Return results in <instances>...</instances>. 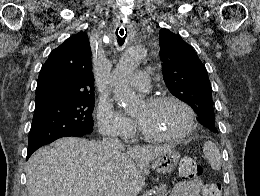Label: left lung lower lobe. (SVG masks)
<instances>
[{
	"mask_svg": "<svg viewBox=\"0 0 260 196\" xmlns=\"http://www.w3.org/2000/svg\"><path fill=\"white\" fill-rule=\"evenodd\" d=\"M197 114H198V120L201 122L203 126H208L210 125V123L215 122L214 113H206L202 110H199Z\"/></svg>",
	"mask_w": 260,
	"mask_h": 196,
	"instance_id": "left-lung-lower-lobe-1",
	"label": "left lung lower lobe"
}]
</instances>
